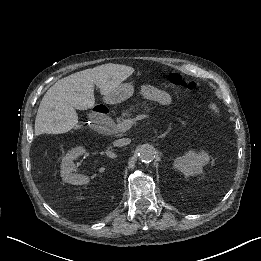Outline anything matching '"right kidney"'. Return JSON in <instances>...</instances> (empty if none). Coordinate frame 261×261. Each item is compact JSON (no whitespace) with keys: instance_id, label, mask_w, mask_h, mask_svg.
I'll return each instance as SVG.
<instances>
[{"instance_id":"right-kidney-1","label":"right kidney","mask_w":261,"mask_h":261,"mask_svg":"<svg viewBox=\"0 0 261 261\" xmlns=\"http://www.w3.org/2000/svg\"><path fill=\"white\" fill-rule=\"evenodd\" d=\"M84 152L85 149L83 147H77L72 149V151L66 154L62 159L61 177L65 182L73 185H83L89 182V178L86 176L71 174V171L73 170V159L76 158L79 153L83 154Z\"/></svg>"}]
</instances>
